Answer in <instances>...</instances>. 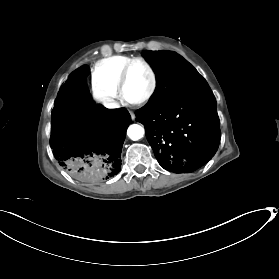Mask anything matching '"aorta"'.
I'll list each match as a JSON object with an SVG mask.
<instances>
[{
    "label": "aorta",
    "mask_w": 279,
    "mask_h": 279,
    "mask_svg": "<svg viewBox=\"0 0 279 279\" xmlns=\"http://www.w3.org/2000/svg\"><path fill=\"white\" fill-rule=\"evenodd\" d=\"M144 133V128L138 124H132L127 129L128 137L134 141L141 139Z\"/></svg>",
    "instance_id": "762f6f07"
}]
</instances>
